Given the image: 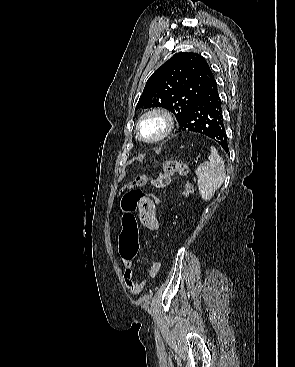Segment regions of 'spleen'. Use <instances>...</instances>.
<instances>
[{
  "label": "spleen",
  "mask_w": 295,
  "mask_h": 367,
  "mask_svg": "<svg viewBox=\"0 0 295 367\" xmlns=\"http://www.w3.org/2000/svg\"><path fill=\"white\" fill-rule=\"evenodd\" d=\"M209 161L196 169L197 185L203 201L212 199L215 191L221 187L226 176L225 164L215 147L211 146Z\"/></svg>",
  "instance_id": "obj_1"
}]
</instances>
